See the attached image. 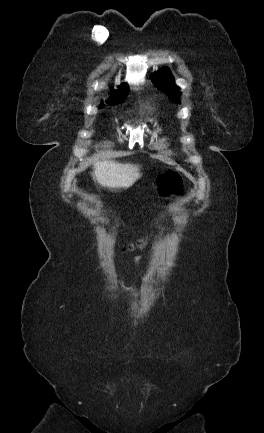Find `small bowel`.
Returning a JSON list of instances; mask_svg holds the SVG:
<instances>
[{"instance_id": "1", "label": "small bowel", "mask_w": 264, "mask_h": 433, "mask_svg": "<svg viewBox=\"0 0 264 433\" xmlns=\"http://www.w3.org/2000/svg\"><path fill=\"white\" fill-rule=\"evenodd\" d=\"M135 263H137L138 265L141 264V257H135ZM142 275H144V272H142Z\"/></svg>"}]
</instances>
